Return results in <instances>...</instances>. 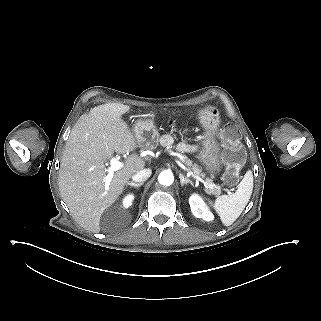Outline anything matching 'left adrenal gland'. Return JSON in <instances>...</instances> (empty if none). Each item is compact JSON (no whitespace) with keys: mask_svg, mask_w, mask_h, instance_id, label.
Returning <instances> with one entry per match:
<instances>
[{"mask_svg":"<svg viewBox=\"0 0 321 321\" xmlns=\"http://www.w3.org/2000/svg\"><path fill=\"white\" fill-rule=\"evenodd\" d=\"M179 178H180L181 186H184L187 183H190L192 186H194V183L190 179L185 177L183 174L180 173Z\"/></svg>","mask_w":321,"mask_h":321,"instance_id":"left-adrenal-gland-1","label":"left adrenal gland"}]
</instances>
